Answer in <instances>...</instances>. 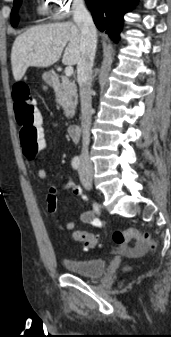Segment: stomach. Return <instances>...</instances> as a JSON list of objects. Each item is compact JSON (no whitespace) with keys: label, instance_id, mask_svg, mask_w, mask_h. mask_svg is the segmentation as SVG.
<instances>
[{"label":"stomach","instance_id":"stomach-1","mask_svg":"<svg viewBox=\"0 0 171 337\" xmlns=\"http://www.w3.org/2000/svg\"><path fill=\"white\" fill-rule=\"evenodd\" d=\"M43 79H44V81L47 82V83L51 82L52 79H53L52 73H50V72L44 73V74H43Z\"/></svg>","mask_w":171,"mask_h":337}]
</instances>
